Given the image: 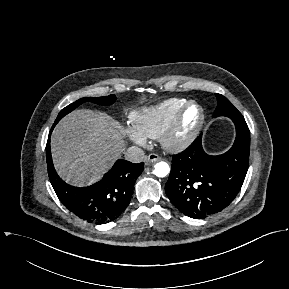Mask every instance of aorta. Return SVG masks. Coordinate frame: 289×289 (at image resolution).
Instances as JSON below:
<instances>
[{
    "instance_id": "aorta-1",
    "label": "aorta",
    "mask_w": 289,
    "mask_h": 289,
    "mask_svg": "<svg viewBox=\"0 0 289 289\" xmlns=\"http://www.w3.org/2000/svg\"><path fill=\"white\" fill-rule=\"evenodd\" d=\"M153 172L157 177H165L169 174L170 167L166 162L161 161L155 164Z\"/></svg>"
}]
</instances>
